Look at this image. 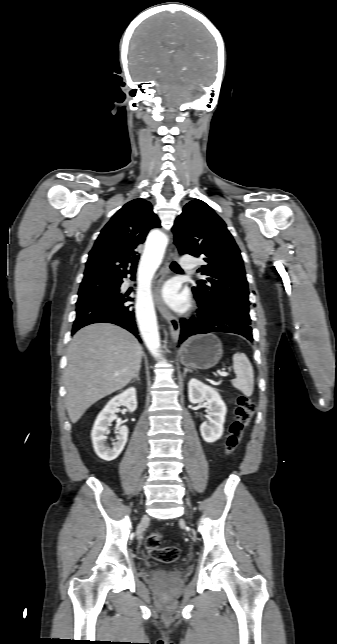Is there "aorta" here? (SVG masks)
<instances>
[{"instance_id":"762f6f07","label":"aorta","mask_w":337,"mask_h":644,"mask_svg":"<svg viewBox=\"0 0 337 644\" xmlns=\"http://www.w3.org/2000/svg\"><path fill=\"white\" fill-rule=\"evenodd\" d=\"M166 241V237L161 235L160 243L155 249H146L138 268L136 316L143 340L155 358L160 356V337L151 295V280L161 262Z\"/></svg>"}]
</instances>
